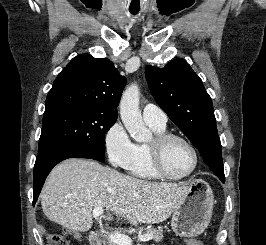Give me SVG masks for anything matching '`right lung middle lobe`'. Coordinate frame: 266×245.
Wrapping results in <instances>:
<instances>
[{
  "label": "right lung middle lobe",
  "mask_w": 266,
  "mask_h": 245,
  "mask_svg": "<svg viewBox=\"0 0 266 245\" xmlns=\"http://www.w3.org/2000/svg\"><path fill=\"white\" fill-rule=\"evenodd\" d=\"M117 115L92 108L64 110L43 118L38 155L65 147L90 152L105 160V133Z\"/></svg>",
  "instance_id": "1"
}]
</instances>
